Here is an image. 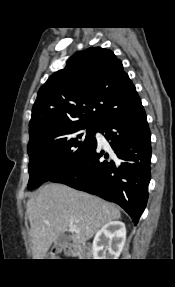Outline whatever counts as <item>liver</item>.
I'll use <instances>...</instances> for the list:
<instances>
[{"label": "liver", "mask_w": 175, "mask_h": 287, "mask_svg": "<svg viewBox=\"0 0 175 287\" xmlns=\"http://www.w3.org/2000/svg\"><path fill=\"white\" fill-rule=\"evenodd\" d=\"M33 259H44L53 241L65 231L71 239L84 245L108 222L118 220L119 209L101 198L69 186L49 183L27 202ZM76 225L78 231H71Z\"/></svg>", "instance_id": "6515ba94"}]
</instances>
